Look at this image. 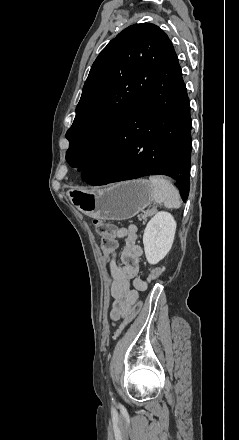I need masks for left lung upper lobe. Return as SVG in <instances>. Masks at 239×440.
<instances>
[{
    "label": "left lung upper lobe",
    "mask_w": 239,
    "mask_h": 440,
    "mask_svg": "<svg viewBox=\"0 0 239 440\" xmlns=\"http://www.w3.org/2000/svg\"><path fill=\"white\" fill-rule=\"evenodd\" d=\"M174 53L156 25L134 24L112 39L93 63L66 137L67 162L84 170L130 114Z\"/></svg>",
    "instance_id": "5c2ea615"
}]
</instances>
